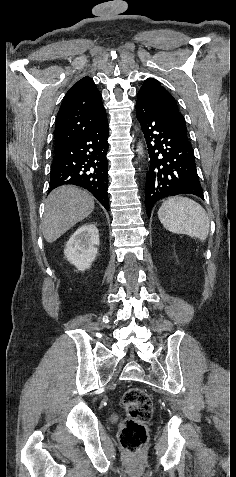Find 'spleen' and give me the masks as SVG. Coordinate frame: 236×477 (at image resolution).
I'll use <instances>...</instances> for the list:
<instances>
[{"instance_id":"spleen-1","label":"spleen","mask_w":236,"mask_h":477,"mask_svg":"<svg viewBox=\"0 0 236 477\" xmlns=\"http://www.w3.org/2000/svg\"><path fill=\"white\" fill-rule=\"evenodd\" d=\"M158 218L170 232L187 234L201 241L208 237V215L200 204L189 198H169L159 208Z\"/></svg>"}]
</instances>
